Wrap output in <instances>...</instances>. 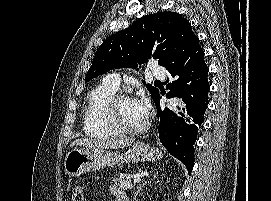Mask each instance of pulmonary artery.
I'll use <instances>...</instances> for the list:
<instances>
[{"label":"pulmonary artery","instance_id":"pulmonary-artery-1","mask_svg":"<svg viewBox=\"0 0 271 201\" xmlns=\"http://www.w3.org/2000/svg\"><path fill=\"white\" fill-rule=\"evenodd\" d=\"M152 68V74L155 77L164 78L166 75V70L158 64V62H153L151 65ZM120 83L119 75L118 73H110L107 74L103 80L102 84L106 87L117 89Z\"/></svg>","mask_w":271,"mask_h":201}]
</instances>
